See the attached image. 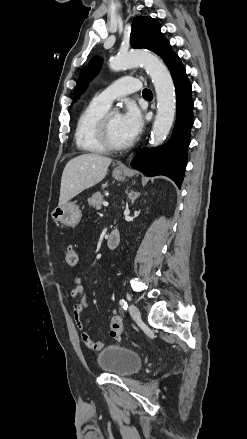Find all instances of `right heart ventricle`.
<instances>
[{"instance_id":"right-heart-ventricle-1","label":"right heart ventricle","mask_w":247,"mask_h":439,"mask_svg":"<svg viewBox=\"0 0 247 439\" xmlns=\"http://www.w3.org/2000/svg\"><path fill=\"white\" fill-rule=\"evenodd\" d=\"M108 110L109 106L95 98L82 110L74 134L78 149L90 153H103L106 151L98 140L97 129L100 119Z\"/></svg>"}]
</instances>
